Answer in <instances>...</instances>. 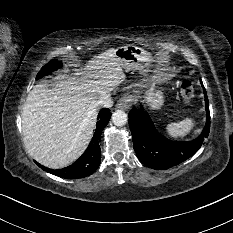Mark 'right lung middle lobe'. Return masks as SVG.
<instances>
[{"instance_id":"1","label":"right lung middle lobe","mask_w":233,"mask_h":233,"mask_svg":"<svg viewBox=\"0 0 233 233\" xmlns=\"http://www.w3.org/2000/svg\"><path fill=\"white\" fill-rule=\"evenodd\" d=\"M61 66H62L61 62H59L55 59L51 60L48 64H46L45 66L42 67V69L37 74L36 79H39L45 75H48L49 73H51L52 71H55L56 69H58Z\"/></svg>"}]
</instances>
